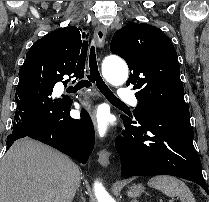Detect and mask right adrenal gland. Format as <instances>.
<instances>
[{"instance_id":"1","label":"right adrenal gland","mask_w":209,"mask_h":202,"mask_svg":"<svg viewBox=\"0 0 209 202\" xmlns=\"http://www.w3.org/2000/svg\"><path fill=\"white\" fill-rule=\"evenodd\" d=\"M81 199H82V202H85V199L82 194H81Z\"/></svg>"}]
</instances>
